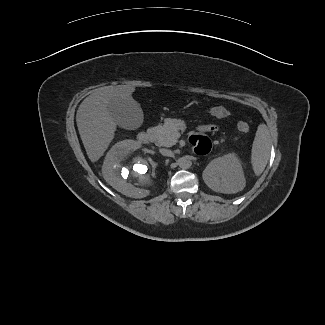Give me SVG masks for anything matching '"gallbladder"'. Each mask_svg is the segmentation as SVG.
I'll list each match as a JSON object with an SVG mask.
<instances>
[{"mask_svg": "<svg viewBox=\"0 0 325 325\" xmlns=\"http://www.w3.org/2000/svg\"><path fill=\"white\" fill-rule=\"evenodd\" d=\"M108 111L114 121L124 129H137L143 122L142 109L134 99L112 100Z\"/></svg>", "mask_w": 325, "mask_h": 325, "instance_id": "1", "label": "gallbladder"}]
</instances>
